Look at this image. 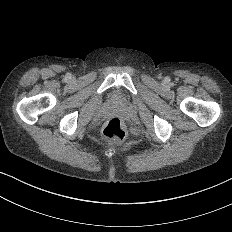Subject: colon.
I'll return each instance as SVG.
<instances>
[{"label":"colon","mask_w":232,"mask_h":232,"mask_svg":"<svg viewBox=\"0 0 232 232\" xmlns=\"http://www.w3.org/2000/svg\"><path fill=\"white\" fill-rule=\"evenodd\" d=\"M126 131V124L122 120H113L105 124L101 130V137L105 141L119 139Z\"/></svg>","instance_id":"colon-1"}]
</instances>
